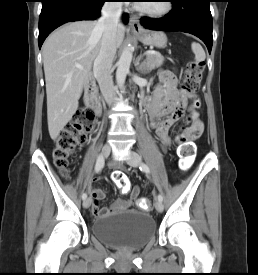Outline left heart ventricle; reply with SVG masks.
Listing matches in <instances>:
<instances>
[{"mask_svg": "<svg viewBox=\"0 0 258 275\" xmlns=\"http://www.w3.org/2000/svg\"><path fill=\"white\" fill-rule=\"evenodd\" d=\"M147 3H140L139 6H142L146 9L157 11L162 9L164 1H145Z\"/></svg>", "mask_w": 258, "mask_h": 275, "instance_id": "b2bd125f", "label": "left heart ventricle"}]
</instances>
